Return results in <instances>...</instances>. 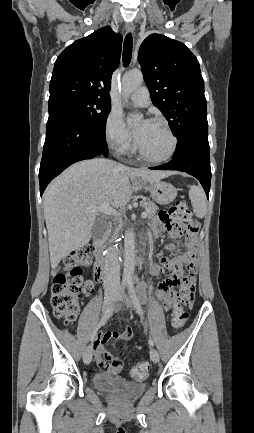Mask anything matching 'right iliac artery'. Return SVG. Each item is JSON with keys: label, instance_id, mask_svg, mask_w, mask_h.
<instances>
[{"label": "right iliac artery", "instance_id": "obj_1", "mask_svg": "<svg viewBox=\"0 0 254 433\" xmlns=\"http://www.w3.org/2000/svg\"><path fill=\"white\" fill-rule=\"evenodd\" d=\"M124 286H125V284L123 283V284H122V287H124ZM113 310H114V305L110 306V307L106 310V312H105L104 315L102 316L100 322L98 323V325H97V327H96V330H95L94 334H93L92 337H91V340L94 339L95 334H96V331H97L101 326L105 325V323L107 322L108 318L112 315Z\"/></svg>", "mask_w": 254, "mask_h": 433}]
</instances>
